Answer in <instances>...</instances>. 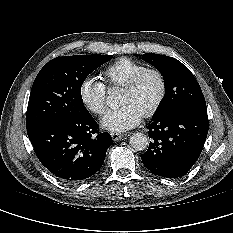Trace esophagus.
<instances>
[{"mask_svg": "<svg viewBox=\"0 0 233 233\" xmlns=\"http://www.w3.org/2000/svg\"><path fill=\"white\" fill-rule=\"evenodd\" d=\"M111 136H112V139L114 140V141H119V140H121V139H123V138H126L128 135L127 134H119V133H111Z\"/></svg>", "mask_w": 233, "mask_h": 233, "instance_id": "obj_1", "label": "esophagus"}]
</instances>
